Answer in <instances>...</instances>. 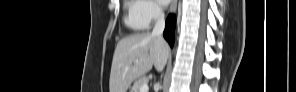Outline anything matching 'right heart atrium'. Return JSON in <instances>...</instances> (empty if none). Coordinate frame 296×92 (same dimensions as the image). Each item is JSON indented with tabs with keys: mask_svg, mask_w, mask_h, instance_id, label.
Instances as JSON below:
<instances>
[{
	"mask_svg": "<svg viewBox=\"0 0 296 92\" xmlns=\"http://www.w3.org/2000/svg\"><path fill=\"white\" fill-rule=\"evenodd\" d=\"M137 12L139 19L146 26L159 20L163 15L160 6L155 1L151 0L137 1Z\"/></svg>",
	"mask_w": 296,
	"mask_h": 92,
	"instance_id": "obj_1",
	"label": "right heart atrium"
}]
</instances>
